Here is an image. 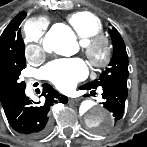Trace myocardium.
Instances as JSON below:
<instances>
[{
	"mask_svg": "<svg viewBox=\"0 0 147 147\" xmlns=\"http://www.w3.org/2000/svg\"><path fill=\"white\" fill-rule=\"evenodd\" d=\"M83 49L94 65H104L111 56V45L103 35H95L85 43H82Z\"/></svg>",
	"mask_w": 147,
	"mask_h": 147,
	"instance_id": "f54148a6",
	"label": "myocardium"
}]
</instances>
